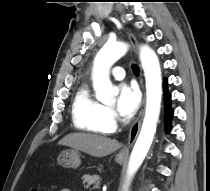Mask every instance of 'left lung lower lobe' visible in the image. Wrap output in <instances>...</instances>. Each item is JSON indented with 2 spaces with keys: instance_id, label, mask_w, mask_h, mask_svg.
I'll list each match as a JSON object with an SVG mask.
<instances>
[{
  "instance_id": "0a47b994",
  "label": "left lung lower lobe",
  "mask_w": 210,
  "mask_h": 191,
  "mask_svg": "<svg viewBox=\"0 0 210 191\" xmlns=\"http://www.w3.org/2000/svg\"><path fill=\"white\" fill-rule=\"evenodd\" d=\"M167 80H164V98H165V129L167 132L171 131V119L173 117V110L171 108V94L166 89Z\"/></svg>"
}]
</instances>
